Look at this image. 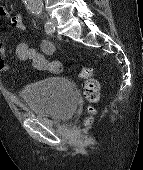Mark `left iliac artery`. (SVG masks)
Here are the masks:
<instances>
[{
	"label": "left iliac artery",
	"instance_id": "1",
	"mask_svg": "<svg viewBox=\"0 0 143 170\" xmlns=\"http://www.w3.org/2000/svg\"><path fill=\"white\" fill-rule=\"evenodd\" d=\"M45 29H46V32H47V33H53L54 30H55V27H53L52 29L49 28V23L46 22V23H45Z\"/></svg>",
	"mask_w": 143,
	"mask_h": 170
}]
</instances>
